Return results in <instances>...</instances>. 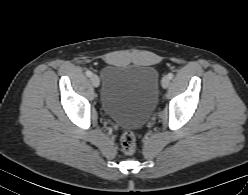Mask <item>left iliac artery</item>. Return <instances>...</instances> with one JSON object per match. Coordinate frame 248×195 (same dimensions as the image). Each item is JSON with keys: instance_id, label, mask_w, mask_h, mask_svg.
Returning a JSON list of instances; mask_svg holds the SVG:
<instances>
[{"instance_id": "obj_1", "label": "left iliac artery", "mask_w": 248, "mask_h": 195, "mask_svg": "<svg viewBox=\"0 0 248 195\" xmlns=\"http://www.w3.org/2000/svg\"><path fill=\"white\" fill-rule=\"evenodd\" d=\"M167 76H168L169 79H172L174 77V74L173 73H169Z\"/></svg>"}]
</instances>
